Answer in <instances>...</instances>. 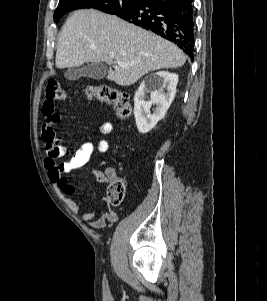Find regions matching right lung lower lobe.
I'll list each match as a JSON object with an SVG mask.
<instances>
[{"label": "right lung lower lobe", "instance_id": "98d812e1", "mask_svg": "<svg viewBox=\"0 0 267 301\" xmlns=\"http://www.w3.org/2000/svg\"><path fill=\"white\" fill-rule=\"evenodd\" d=\"M193 0H139L120 18L150 30L179 46L193 61Z\"/></svg>", "mask_w": 267, "mask_h": 301}]
</instances>
